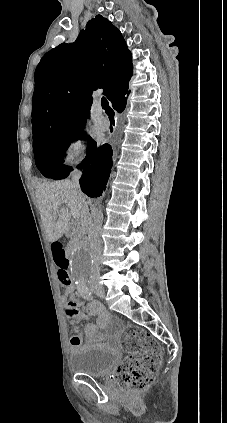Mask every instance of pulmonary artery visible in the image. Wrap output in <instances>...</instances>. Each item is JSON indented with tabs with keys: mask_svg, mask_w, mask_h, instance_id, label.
<instances>
[{
	"mask_svg": "<svg viewBox=\"0 0 227 423\" xmlns=\"http://www.w3.org/2000/svg\"><path fill=\"white\" fill-rule=\"evenodd\" d=\"M91 117L97 129L106 130L109 127V121L103 116L102 109L100 107L92 108Z\"/></svg>",
	"mask_w": 227,
	"mask_h": 423,
	"instance_id": "obj_1",
	"label": "pulmonary artery"
}]
</instances>
